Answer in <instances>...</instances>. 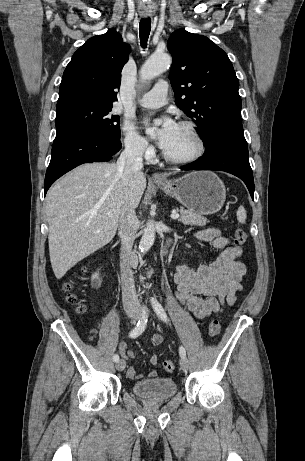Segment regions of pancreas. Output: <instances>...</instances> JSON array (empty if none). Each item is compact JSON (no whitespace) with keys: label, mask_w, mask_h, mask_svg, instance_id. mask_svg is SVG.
<instances>
[{"label":"pancreas","mask_w":305,"mask_h":461,"mask_svg":"<svg viewBox=\"0 0 305 461\" xmlns=\"http://www.w3.org/2000/svg\"><path fill=\"white\" fill-rule=\"evenodd\" d=\"M177 210L180 213V218L178 220L184 225L205 226L208 222L207 218L203 217L200 214H196L192 211L185 210L184 208H180Z\"/></svg>","instance_id":"pancreas-1"}]
</instances>
